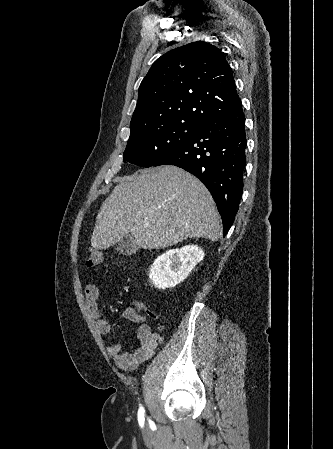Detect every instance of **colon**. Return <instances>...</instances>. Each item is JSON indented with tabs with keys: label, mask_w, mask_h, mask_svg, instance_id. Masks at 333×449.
Instances as JSON below:
<instances>
[{
	"label": "colon",
	"mask_w": 333,
	"mask_h": 449,
	"mask_svg": "<svg viewBox=\"0 0 333 449\" xmlns=\"http://www.w3.org/2000/svg\"><path fill=\"white\" fill-rule=\"evenodd\" d=\"M103 253L97 248H90L87 251V265L89 267H95L102 262Z\"/></svg>",
	"instance_id": "obj_1"
}]
</instances>
